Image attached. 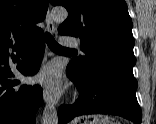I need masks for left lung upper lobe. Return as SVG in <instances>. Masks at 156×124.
<instances>
[{"mask_svg":"<svg viewBox=\"0 0 156 124\" xmlns=\"http://www.w3.org/2000/svg\"><path fill=\"white\" fill-rule=\"evenodd\" d=\"M62 5L68 18L60 25L61 35L80 38L84 56L71 60L67 69L78 79L114 69L133 76L132 20L124 0H50Z\"/></svg>","mask_w":156,"mask_h":124,"instance_id":"obj_1","label":"left lung upper lobe"}]
</instances>
